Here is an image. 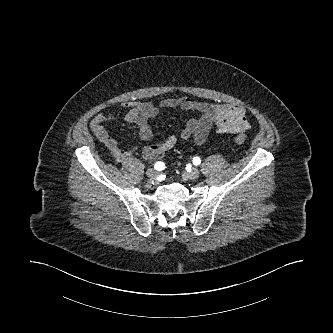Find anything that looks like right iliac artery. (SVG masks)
Instances as JSON below:
<instances>
[{"label":"right iliac artery","mask_w":333,"mask_h":333,"mask_svg":"<svg viewBox=\"0 0 333 333\" xmlns=\"http://www.w3.org/2000/svg\"><path fill=\"white\" fill-rule=\"evenodd\" d=\"M154 168H155V170H159V171L163 170L164 169V163L157 162V163H155Z\"/></svg>","instance_id":"82829eb1"}]
</instances>
